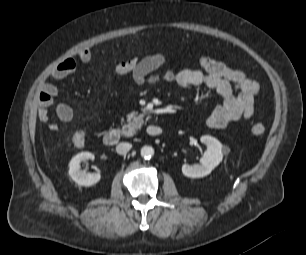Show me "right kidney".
<instances>
[{
  "mask_svg": "<svg viewBox=\"0 0 306 255\" xmlns=\"http://www.w3.org/2000/svg\"><path fill=\"white\" fill-rule=\"evenodd\" d=\"M86 160H94V155L90 152L75 155L69 162V175L78 185L89 187L98 183L101 175L99 172L86 173L80 170V163Z\"/></svg>",
  "mask_w": 306,
  "mask_h": 255,
  "instance_id": "obj_1",
  "label": "right kidney"
}]
</instances>
